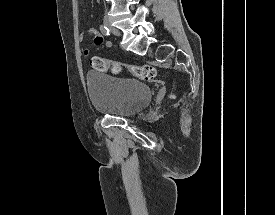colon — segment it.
<instances>
[{
  "instance_id": "5ec220e1",
  "label": "colon",
  "mask_w": 275,
  "mask_h": 215,
  "mask_svg": "<svg viewBox=\"0 0 275 215\" xmlns=\"http://www.w3.org/2000/svg\"><path fill=\"white\" fill-rule=\"evenodd\" d=\"M84 1V0H82ZM90 65L92 68H94L97 71L100 72H106L108 70H111L113 73H118L122 66L118 63L112 62L107 58L100 57V56H94L90 60ZM126 69L139 80L145 81V82H151L154 80L156 76V70L155 68L149 66V65H127Z\"/></svg>"
}]
</instances>
